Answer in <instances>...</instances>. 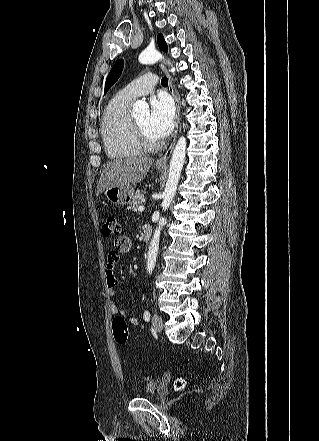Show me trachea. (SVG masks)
I'll return each mask as SVG.
<instances>
[{
    "label": "trachea",
    "instance_id": "1",
    "mask_svg": "<svg viewBox=\"0 0 319 441\" xmlns=\"http://www.w3.org/2000/svg\"><path fill=\"white\" fill-rule=\"evenodd\" d=\"M161 84H162L163 86H167V85H168V79H167V77H163V78L161 79Z\"/></svg>",
    "mask_w": 319,
    "mask_h": 441
}]
</instances>
